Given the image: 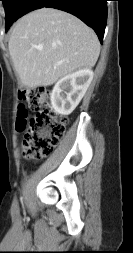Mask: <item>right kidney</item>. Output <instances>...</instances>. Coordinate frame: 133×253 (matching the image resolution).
<instances>
[{
  "mask_svg": "<svg viewBox=\"0 0 133 253\" xmlns=\"http://www.w3.org/2000/svg\"><path fill=\"white\" fill-rule=\"evenodd\" d=\"M93 79L91 69H81L61 78L51 93L53 110L60 115H69L77 107Z\"/></svg>",
  "mask_w": 133,
  "mask_h": 253,
  "instance_id": "right-kidney-1",
  "label": "right kidney"
}]
</instances>
